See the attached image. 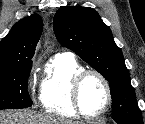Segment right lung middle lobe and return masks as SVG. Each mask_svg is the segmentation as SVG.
Here are the masks:
<instances>
[{
  "instance_id": "right-lung-middle-lobe-1",
  "label": "right lung middle lobe",
  "mask_w": 145,
  "mask_h": 124,
  "mask_svg": "<svg viewBox=\"0 0 145 124\" xmlns=\"http://www.w3.org/2000/svg\"><path fill=\"white\" fill-rule=\"evenodd\" d=\"M32 61L13 67H0V110L30 107L27 91Z\"/></svg>"
}]
</instances>
